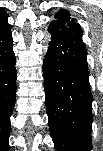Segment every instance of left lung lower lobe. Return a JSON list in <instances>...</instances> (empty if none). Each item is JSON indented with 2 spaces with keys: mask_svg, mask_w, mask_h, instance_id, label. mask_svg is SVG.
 <instances>
[{
  "mask_svg": "<svg viewBox=\"0 0 103 151\" xmlns=\"http://www.w3.org/2000/svg\"><path fill=\"white\" fill-rule=\"evenodd\" d=\"M52 34L43 61L49 129L58 151L92 148V93L87 50L82 29L72 23L64 30L49 26Z\"/></svg>",
  "mask_w": 103,
  "mask_h": 151,
  "instance_id": "left-lung-lower-lobe-1",
  "label": "left lung lower lobe"
}]
</instances>
